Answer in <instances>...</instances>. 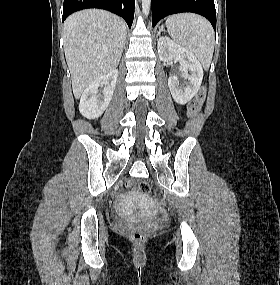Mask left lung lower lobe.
I'll use <instances>...</instances> for the list:
<instances>
[{"mask_svg": "<svg viewBox=\"0 0 280 285\" xmlns=\"http://www.w3.org/2000/svg\"><path fill=\"white\" fill-rule=\"evenodd\" d=\"M151 5L153 27L168 15L193 12L206 17L216 31L214 0H151Z\"/></svg>", "mask_w": 280, "mask_h": 285, "instance_id": "obj_1", "label": "left lung lower lobe"}]
</instances>
